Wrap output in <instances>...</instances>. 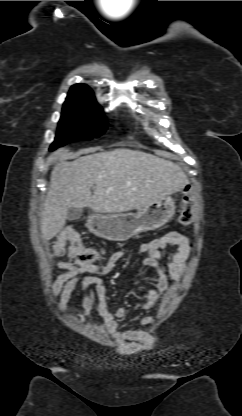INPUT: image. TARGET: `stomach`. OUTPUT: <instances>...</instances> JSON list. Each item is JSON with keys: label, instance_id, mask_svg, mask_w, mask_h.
I'll return each instance as SVG.
<instances>
[{"label": "stomach", "instance_id": "0dacf381", "mask_svg": "<svg viewBox=\"0 0 242 416\" xmlns=\"http://www.w3.org/2000/svg\"><path fill=\"white\" fill-rule=\"evenodd\" d=\"M174 213L175 201L167 195L137 213L92 214L87 219V228L103 239L125 241L139 233L162 227Z\"/></svg>", "mask_w": 242, "mask_h": 416}]
</instances>
